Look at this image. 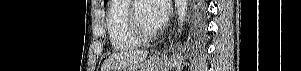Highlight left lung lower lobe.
Returning <instances> with one entry per match:
<instances>
[{
    "mask_svg": "<svg viewBox=\"0 0 301 71\" xmlns=\"http://www.w3.org/2000/svg\"><path fill=\"white\" fill-rule=\"evenodd\" d=\"M205 17H206V1L205 0L192 1V3H191V20H192V29L195 34L204 36L205 29H206ZM201 39H198V40L193 39V40L199 41Z\"/></svg>",
    "mask_w": 301,
    "mask_h": 71,
    "instance_id": "1",
    "label": "left lung lower lobe"
}]
</instances>
